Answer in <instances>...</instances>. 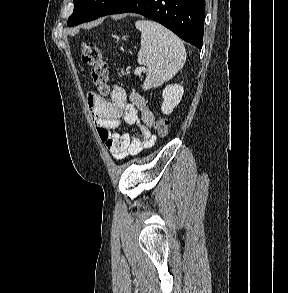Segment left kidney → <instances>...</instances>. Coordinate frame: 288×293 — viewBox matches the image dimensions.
Wrapping results in <instances>:
<instances>
[{"label":"left kidney","instance_id":"1","mask_svg":"<svg viewBox=\"0 0 288 293\" xmlns=\"http://www.w3.org/2000/svg\"><path fill=\"white\" fill-rule=\"evenodd\" d=\"M184 89L179 84L167 85L162 92L163 103L161 110L164 114H170L173 109L180 103Z\"/></svg>","mask_w":288,"mask_h":293}]
</instances>
